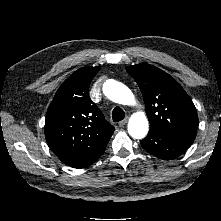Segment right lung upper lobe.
<instances>
[{"label": "right lung upper lobe", "mask_w": 221, "mask_h": 221, "mask_svg": "<svg viewBox=\"0 0 221 221\" xmlns=\"http://www.w3.org/2000/svg\"><path fill=\"white\" fill-rule=\"evenodd\" d=\"M99 70H76L60 86L46 113L45 137L50 148L74 168L102 155L115 130L88 95Z\"/></svg>", "instance_id": "right-lung-upper-lobe-1"}]
</instances>
